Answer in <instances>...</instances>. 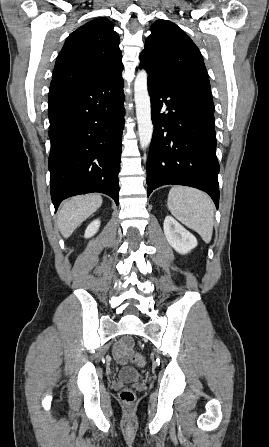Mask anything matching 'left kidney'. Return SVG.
Returning a JSON list of instances; mask_svg holds the SVG:
<instances>
[{
    "label": "left kidney",
    "instance_id": "left-kidney-1",
    "mask_svg": "<svg viewBox=\"0 0 269 447\" xmlns=\"http://www.w3.org/2000/svg\"><path fill=\"white\" fill-rule=\"evenodd\" d=\"M163 227L168 243L179 253H188L190 249L196 247L195 235L187 231L183 225L178 224L172 216H166Z\"/></svg>",
    "mask_w": 269,
    "mask_h": 447
}]
</instances>
